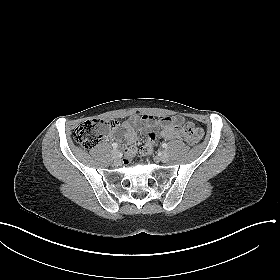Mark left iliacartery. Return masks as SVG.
Listing matches in <instances>:
<instances>
[{"mask_svg":"<svg viewBox=\"0 0 280 280\" xmlns=\"http://www.w3.org/2000/svg\"><path fill=\"white\" fill-rule=\"evenodd\" d=\"M162 147H163V148H167V147H168V144H167V143H163V144H162Z\"/></svg>","mask_w":280,"mask_h":280,"instance_id":"1","label":"left iliac artery"}]
</instances>
